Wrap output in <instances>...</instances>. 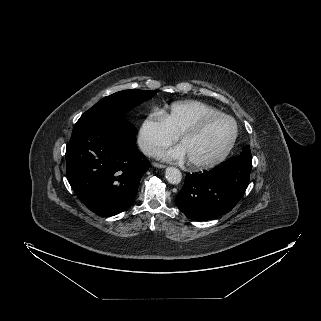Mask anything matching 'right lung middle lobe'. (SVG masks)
I'll use <instances>...</instances> for the list:
<instances>
[{
    "instance_id": "1",
    "label": "right lung middle lobe",
    "mask_w": 321,
    "mask_h": 321,
    "mask_svg": "<svg viewBox=\"0 0 321 321\" xmlns=\"http://www.w3.org/2000/svg\"><path fill=\"white\" fill-rule=\"evenodd\" d=\"M156 92L147 90H124L106 96L87 110L75 126L95 123L110 118H121L123 114L144 101L151 99Z\"/></svg>"
}]
</instances>
